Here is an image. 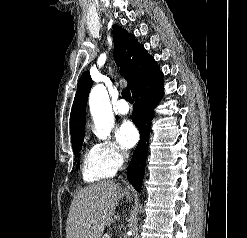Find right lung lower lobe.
I'll use <instances>...</instances> for the list:
<instances>
[{"instance_id":"right-lung-lower-lobe-1","label":"right lung lower lobe","mask_w":247,"mask_h":238,"mask_svg":"<svg viewBox=\"0 0 247 238\" xmlns=\"http://www.w3.org/2000/svg\"><path fill=\"white\" fill-rule=\"evenodd\" d=\"M162 96V72H159L151 81L133 94L135 105L133 107L132 121L138 128L141 137L129 164L127 177L137 191L141 190V184L144 178L151 120L154 115L153 109L161 100Z\"/></svg>"}]
</instances>
